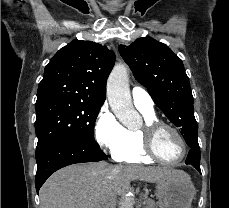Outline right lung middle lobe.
Segmentation results:
<instances>
[{"label": "right lung middle lobe", "mask_w": 229, "mask_h": 208, "mask_svg": "<svg viewBox=\"0 0 229 208\" xmlns=\"http://www.w3.org/2000/svg\"><path fill=\"white\" fill-rule=\"evenodd\" d=\"M100 107L70 98H49L36 102V151L61 137H75L90 144L94 140V123Z\"/></svg>", "instance_id": "right-lung-middle-lobe-1"}]
</instances>
